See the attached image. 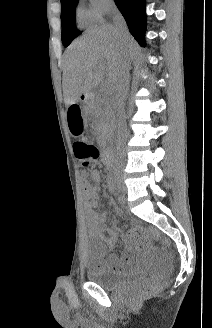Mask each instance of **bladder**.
I'll use <instances>...</instances> for the list:
<instances>
[{
  "instance_id": "1",
  "label": "bladder",
  "mask_w": 212,
  "mask_h": 328,
  "mask_svg": "<svg viewBox=\"0 0 212 328\" xmlns=\"http://www.w3.org/2000/svg\"><path fill=\"white\" fill-rule=\"evenodd\" d=\"M140 267L127 274H119L109 270L103 261L92 260L87 269V277L108 291H116L125 286L138 282L142 278Z\"/></svg>"
}]
</instances>
